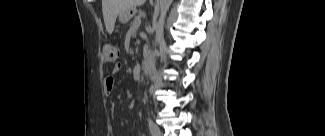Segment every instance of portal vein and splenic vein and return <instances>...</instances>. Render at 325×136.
<instances>
[{"instance_id": "1", "label": "portal vein and splenic vein", "mask_w": 325, "mask_h": 136, "mask_svg": "<svg viewBox=\"0 0 325 136\" xmlns=\"http://www.w3.org/2000/svg\"><path fill=\"white\" fill-rule=\"evenodd\" d=\"M135 24H140V21L136 22Z\"/></svg>"}]
</instances>
